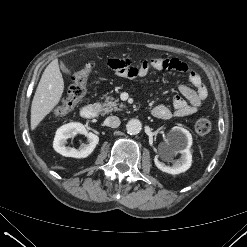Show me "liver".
<instances>
[{
  "instance_id": "obj_1",
  "label": "liver",
  "mask_w": 247,
  "mask_h": 247,
  "mask_svg": "<svg viewBox=\"0 0 247 247\" xmlns=\"http://www.w3.org/2000/svg\"><path fill=\"white\" fill-rule=\"evenodd\" d=\"M64 91V80L58 61L53 60L44 70L31 104V129L39 123L60 102Z\"/></svg>"
}]
</instances>
